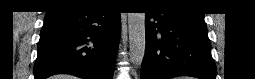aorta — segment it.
<instances>
[{
    "mask_svg": "<svg viewBox=\"0 0 255 79\" xmlns=\"http://www.w3.org/2000/svg\"><path fill=\"white\" fill-rule=\"evenodd\" d=\"M129 54L134 69H138L145 54V13H128Z\"/></svg>",
    "mask_w": 255,
    "mask_h": 79,
    "instance_id": "1",
    "label": "aorta"
}]
</instances>
